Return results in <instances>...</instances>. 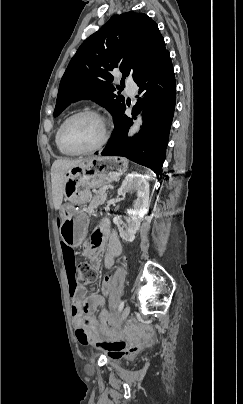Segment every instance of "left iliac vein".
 Segmentation results:
<instances>
[{
	"label": "left iliac vein",
	"mask_w": 243,
	"mask_h": 404,
	"mask_svg": "<svg viewBox=\"0 0 243 404\" xmlns=\"http://www.w3.org/2000/svg\"><path fill=\"white\" fill-rule=\"evenodd\" d=\"M130 310H131V308H130L129 305H127V306L123 309V311H122V313L120 314V317H119V319H118V323H119V324L123 323L124 320L128 317V315H129V313H130Z\"/></svg>",
	"instance_id": "obj_1"
}]
</instances>
